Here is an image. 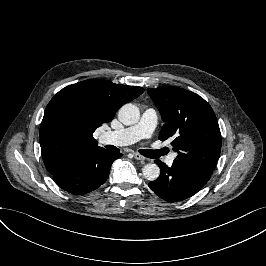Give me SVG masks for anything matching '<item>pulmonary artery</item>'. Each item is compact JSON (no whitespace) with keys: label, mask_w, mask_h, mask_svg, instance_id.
<instances>
[{"label":"pulmonary artery","mask_w":266,"mask_h":266,"mask_svg":"<svg viewBox=\"0 0 266 266\" xmlns=\"http://www.w3.org/2000/svg\"><path fill=\"white\" fill-rule=\"evenodd\" d=\"M154 113V119L153 114ZM157 124V117L154 111L148 109L143 112L140 120L127 128L109 131L102 136L104 144L114 145H130L136 141H141L143 138H149ZM176 157V153H171L165 160L166 164L171 166Z\"/></svg>","instance_id":"obj_1"}]
</instances>
